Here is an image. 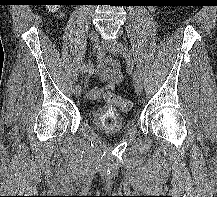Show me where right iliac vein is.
<instances>
[{"label":"right iliac vein","instance_id":"1","mask_svg":"<svg viewBox=\"0 0 217 197\" xmlns=\"http://www.w3.org/2000/svg\"><path fill=\"white\" fill-rule=\"evenodd\" d=\"M90 41H91L92 47L94 49H96L98 47V44H99V36H98L97 31H95V30L92 31L91 36H90ZM73 92H74V95L76 97L80 96L81 92H82L81 86L80 85L75 86Z\"/></svg>","mask_w":217,"mask_h":197}]
</instances>
